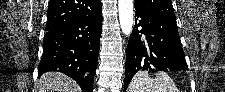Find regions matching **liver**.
Here are the masks:
<instances>
[{
    "label": "liver",
    "instance_id": "1",
    "mask_svg": "<svg viewBox=\"0 0 225 92\" xmlns=\"http://www.w3.org/2000/svg\"><path fill=\"white\" fill-rule=\"evenodd\" d=\"M36 92H79L75 81L62 73H45L36 84Z\"/></svg>",
    "mask_w": 225,
    "mask_h": 92
}]
</instances>
